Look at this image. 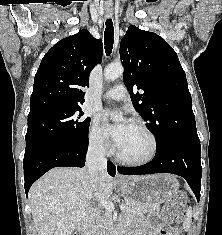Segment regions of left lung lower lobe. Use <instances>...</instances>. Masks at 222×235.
Here are the masks:
<instances>
[{
	"instance_id": "1",
	"label": "left lung lower lobe",
	"mask_w": 222,
	"mask_h": 235,
	"mask_svg": "<svg viewBox=\"0 0 222 235\" xmlns=\"http://www.w3.org/2000/svg\"><path fill=\"white\" fill-rule=\"evenodd\" d=\"M200 158V142L177 139L156 148V155L150 163L140 167H117V170L125 175L154 173L179 175L187 181L199 201L202 174Z\"/></svg>"
}]
</instances>
